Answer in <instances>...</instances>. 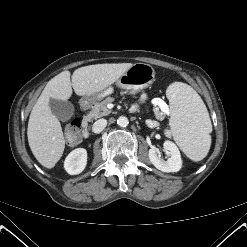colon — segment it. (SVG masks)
<instances>
[{
	"label": "colon",
	"mask_w": 247,
	"mask_h": 247,
	"mask_svg": "<svg viewBox=\"0 0 247 247\" xmlns=\"http://www.w3.org/2000/svg\"><path fill=\"white\" fill-rule=\"evenodd\" d=\"M65 140L67 145L76 146L82 141L81 122L79 118H74L64 129Z\"/></svg>",
	"instance_id": "colon-1"
}]
</instances>
